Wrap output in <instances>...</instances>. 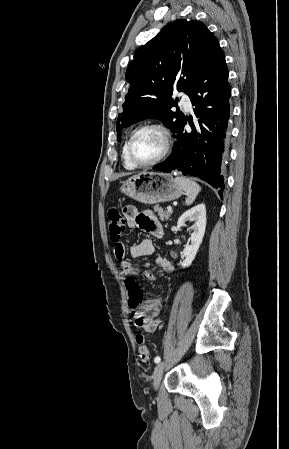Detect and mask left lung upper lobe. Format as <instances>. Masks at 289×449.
I'll return each mask as SVG.
<instances>
[{
    "label": "left lung upper lobe",
    "instance_id": "left-lung-upper-lobe-1",
    "mask_svg": "<svg viewBox=\"0 0 289 449\" xmlns=\"http://www.w3.org/2000/svg\"><path fill=\"white\" fill-rule=\"evenodd\" d=\"M219 47L218 40L199 21L176 20L140 46L126 70L129 91L119 114L116 129L140 120H160L172 132L184 119L182 112L171 111L179 100L172 99L174 84L189 93L206 60Z\"/></svg>",
    "mask_w": 289,
    "mask_h": 449
}]
</instances>
